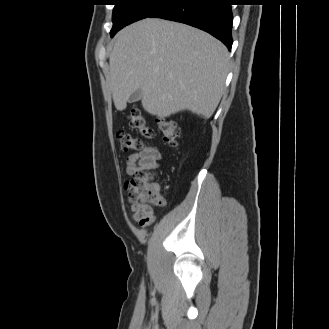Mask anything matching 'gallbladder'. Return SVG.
Wrapping results in <instances>:
<instances>
[{"label": "gallbladder", "mask_w": 329, "mask_h": 329, "mask_svg": "<svg viewBox=\"0 0 329 329\" xmlns=\"http://www.w3.org/2000/svg\"><path fill=\"white\" fill-rule=\"evenodd\" d=\"M142 98V90L139 88L137 90H135L129 97V102L133 103V102H137Z\"/></svg>", "instance_id": "gallbladder-1"}]
</instances>
